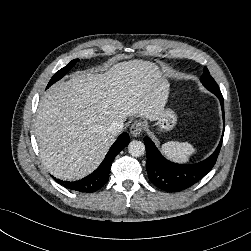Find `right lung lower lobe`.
Returning a JSON list of instances; mask_svg holds the SVG:
<instances>
[{
    "label": "right lung lower lobe",
    "instance_id": "1",
    "mask_svg": "<svg viewBox=\"0 0 251 251\" xmlns=\"http://www.w3.org/2000/svg\"><path fill=\"white\" fill-rule=\"evenodd\" d=\"M128 144L129 135L124 132L111 146L103 162L93 173L81 180L69 182L57 179V182L70 190L85 193H91L101 189L109 179V172L114 158Z\"/></svg>",
    "mask_w": 251,
    "mask_h": 251
}]
</instances>
